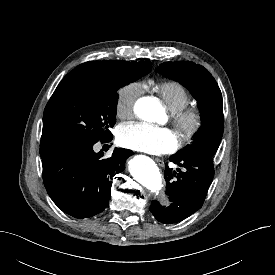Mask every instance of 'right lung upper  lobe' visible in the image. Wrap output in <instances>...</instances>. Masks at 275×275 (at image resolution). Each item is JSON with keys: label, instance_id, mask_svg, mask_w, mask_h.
Masks as SVG:
<instances>
[{"label": "right lung upper lobe", "instance_id": "1", "mask_svg": "<svg viewBox=\"0 0 275 275\" xmlns=\"http://www.w3.org/2000/svg\"><path fill=\"white\" fill-rule=\"evenodd\" d=\"M128 61H90L83 63L73 69L69 74H67L61 83H73L80 82L89 79H101V80H112L122 71L123 65ZM137 65H145L147 62H130ZM57 151L56 148L49 145L46 139L42 136L40 143V155L45 157Z\"/></svg>", "mask_w": 275, "mask_h": 275}]
</instances>
